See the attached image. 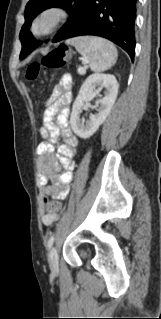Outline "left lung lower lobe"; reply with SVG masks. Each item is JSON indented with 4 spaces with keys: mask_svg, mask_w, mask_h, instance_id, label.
Segmentation results:
<instances>
[{
    "mask_svg": "<svg viewBox=\"0 0 161 319\" xmlns=\"http://www.w3.org/2000/svg\"><path fill=\"white\" fill-rule=\"evenodd\" d=\"M136 6L137 0H91L83 16L63 39L82 35L101 36L123 48L133 61ZM30 46L20 54V59L35 49L30 51Z\"/></svg>",
    "mask_w": 161,
    "mask_h": 319,
    "instance_id": "0a47b994",
    "label": "left lung lower lobe"
}]
</instances>
